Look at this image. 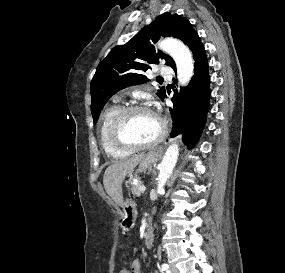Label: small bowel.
Wrapping results in <instances>:
<instances>
[{"label": "small bowel", "mask_w": 285, "mask_h": 273, "mask_svg": "<svg viewBox=\"0 0 285 273\" xmlns=\"http://www.w3.org/2000/svg\"><path fill=\"white\" fill-rule=\"evenodd\" d=\"M124 273H143L141 262L134 260L130 268H125Z\"/></svg>", "instance_id": "small-bowel-1"}]
</instances>
